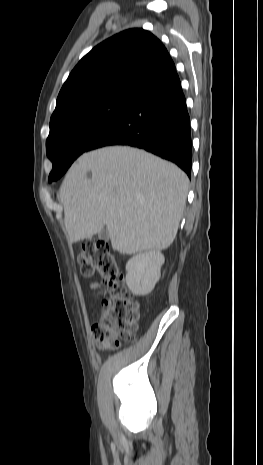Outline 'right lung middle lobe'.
Wrapping results in <instances>:
<instances>
[{
    "mask_svg": "<svg viewBox=\"0 0 263 465\" xmlns=\"http://www.w3.org/2000/svg\"><path fill=\"white\" fill-rule=\"evenodd\" d=\"M134 97L111 96L72 107L50 120L46 153L53 163L49 182L58 180L73 161L128 110Z\"/></svg>",
    "mask_w": 263,
    "mask_h": 465,
    "instance_id": "dd1d6c3e",
    "label": "right lung middle lobe"
}]
</instances>
